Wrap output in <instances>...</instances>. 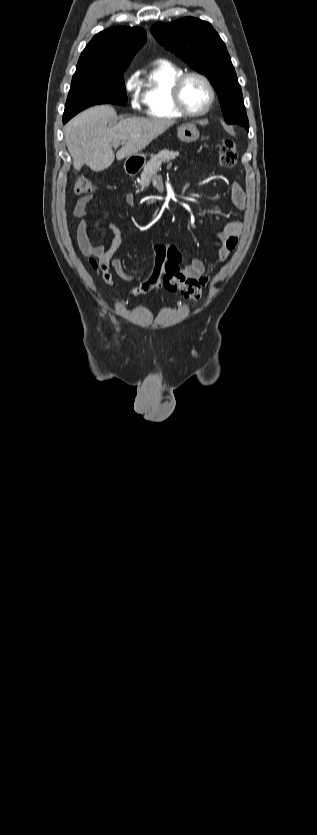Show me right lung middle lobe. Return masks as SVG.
I'll use <instances>...</instances> for the list:
<instances>
[{"instance_id":"obj_1","label":"right lung middle lobe","mask_w":317,"mask_h":835,"mask_svg":"<svg viewBox=\"0 0 317 835\" xmlns=\"http://www.w3.org/2000/svg\"><path fill=\"white\" fill-rule=\"evenodd\" d=\"M123 71H76L72 78L63 123L92 105L105 103L126 105L127 95Z\"/></svg>"}]
</instances>
